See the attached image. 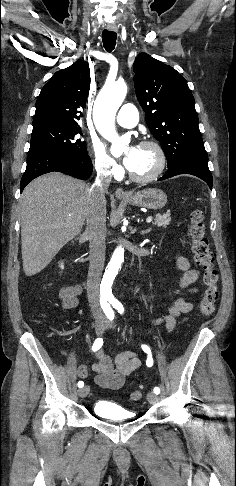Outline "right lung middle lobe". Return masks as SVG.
<instances>
[{
	"label": "right lung middle lobe",
	"instance_id": "dd1d6c3e",
	"mask_svg": "<svg viewBox=\"0 0 236 486\" xmlns=\"http://www.w3.org/2000/svg\"><path fill=\"white\" fill-rule=\"evenodd\" d=\"M80 126L45 124L33 127L29 153L52 151L61 153L87 154L86 143Z\"/></svg>",
	"mask_w": 236,
	"mask_h": 486
}]
</instances>
